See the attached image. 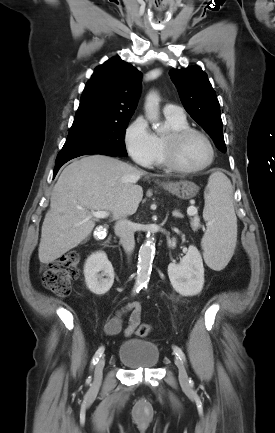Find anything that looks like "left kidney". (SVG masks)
<instances>
[{
  "instance_id": "left-kidney-1",
  "label": "left kidney",
  "mask_w": 275,
  "mask_h": 433,
  "mask_svg": "<svg viewBox=\"0 0 275 433\" xmlns=\"http://www.w3.org/2000/svg\"><path fill=\"white\" fill-rule=\"evenodd\" d=\"M173 239L171 246L175 247ZM168 276L175 291L183 296L199 294L204 285L203 260L198 249L191 245L179 264L168 265Z\"/></svg>"
}]
</instances>
